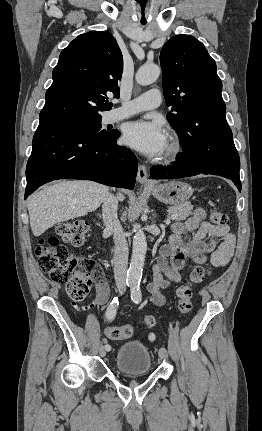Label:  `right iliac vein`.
Returning a JSON list of instances; mask_svg holds the SVG:
<instances>
[{
    "label": "right iliac vein",
    "instance_id": "1",
    "mask_svg": "<svg viewBox=\"0 0 262 431\" xmlns=\"http://www.w3.org/2000/svg\"><path fill=\"white\" fill-rule=\"evenodd\" d=\"M99 354L101 357H105L106 356V349L103 345H100L99 347Z\"/></svg>",
    "mask_w": 262,
    "mask_h": 431
}]
</instances>
